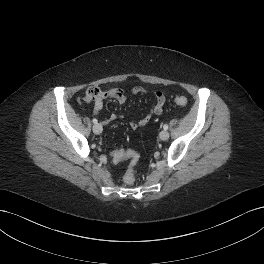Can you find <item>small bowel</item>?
Returning <instances> with one entry per match:
<instances>
[{"label":"small bowel","mask_w":264,"mask_h":264,"mask_svg":"<svg viewBox=\"0 0 264 264\" xmlns=\"http://www.w3.org/2000/svg\"><path fill=\"white\" fill-rule=\"evenodd\" d=\"M149 91L142 87V86H135L131 89L130 94L131 95H137V94H146ZM154 103L152 106V109L150 111L149 114H147L145 117L139 119V120H133L131 121L130 125L133 129H138L140 127L145 126L150 118L152 117V115H160L162 114L164 107H165V96L163 94L162 91L157 90L154 92ZM105 99H114L116 101H118L119 103H125L128 99V94L125 90L121 89V88H111L108 89L104 92H102V95L94 100V104H93V113L94 114H99L100 111L103 108V103ZM119 116L117 114H111L107 119H105L103 121L104 124H108L112 121H115ZM122 150H116L114 152H112L111 154V159L114 163H117L121 160H123V158L118 157V154L121 152Z\"/></svg>","instance_id":"c3829d8e"}]
</instances>
